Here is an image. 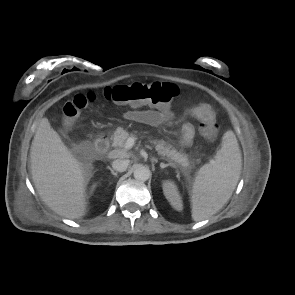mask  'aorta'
Instances as JSON below:
<instances>
[{
  "label": "aorta",
  "mask_w": 295,
  "mask_h": 295,
  "mask_svg": "<svg viewBox=\"0 0 295 295\" xmlns=\"http://www.w3.org/2000/svg\"><path fill=\"white\" fill-rule=\"evenodd\" d=\"M133 175H134V178L139 181H147L151 173L148 167L140 165L134 170Z\"/></svg>",
  "instance_id": "762f6f07"
}]
</instances>
